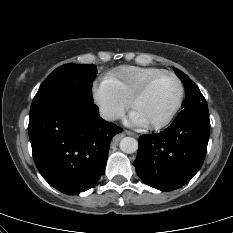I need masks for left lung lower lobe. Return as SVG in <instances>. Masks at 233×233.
Masks as SVG:
<instances>
[{
	"label": "left lung lower lobe",
	"mask_w": 233,
	"mask_h": 233,
	"mask_svg": "<svg viewBox=\"0 0 233 233\" xmlns=\"http://www.w3.org/2000/svg\"><path fill=\"white\" fill-rule=\"evenodd\" d=\"M206 101L185 107L161 133L139 137L134 166L141 180L158 190L185 185L201 168L209 140Z\"/></svg>",
	"instance_id": "1"
}]
</instances>
